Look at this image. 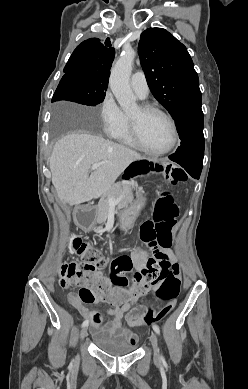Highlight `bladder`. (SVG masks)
Returning a JSON list of instances; mask_svg holds the SVG:
<instances>
[{
    "label": "bladder",
    "instance_id": "obj_1",
    "mask_svg": "<svg viewBox=\"0 0 248 389\" xmlns=\"http://www.w3.org/2000/svg\"><path fill=\"white\" fill-rule=\"evenodd\" d=\"M94 345L111 356H124L133 353L137 346L129 336L124 334L112 335L103 332H94L92 335Z\"/></svg>",
    "mask_w": 248,
    "mask_h": 389
}]
</instances>
